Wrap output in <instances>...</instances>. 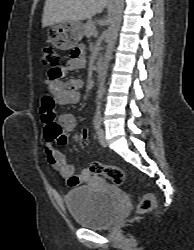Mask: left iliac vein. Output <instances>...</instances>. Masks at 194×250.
I'll return each instance as SVG.
<instances>
[{
  "instance_id": "4c4485c4",
  "label": "left iliac vein",
  "mask_w": 194,
  "mask_h": 250,
  "mask_svg": "<svg viewBox=\"0 0 194 250\" xmlns=\"http://www.w3.org/2000/svg\"><path fill=\"white\" fill-rule=\"evenodd\" d=\"M98 140L99 143L102 147H106L107 146V140H106V136H105V130L103 128H100L98 130Z\"/></svg>"
}]
</instances>
